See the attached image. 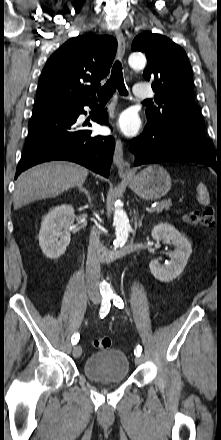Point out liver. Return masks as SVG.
<instances>
[{
    "mask_svg": "<svg viewBox=\"0 0 221 440\" xmlns=\"http://www.w3.org/2000/svg\"><path fill=\"white\" fill-rule=\"evenodd\" d=\"M88 169L69 162H50L37 165L22 173L15 184L14 208L36 200L52 198L69 188L81 186Z\"/></svg>",
    "mask_w": 221,
    "mask_h": 440,
    "instance_id": "1",
    "label": "liver"
}]
</instances>
